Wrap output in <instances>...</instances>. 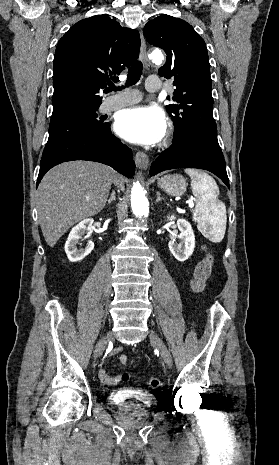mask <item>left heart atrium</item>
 <instances>
[{
  "label": "left heart atrium",
  "instance_id": "left-heart-atrium-1",
  "mask_svg": "<svg viewBox=\"0 0 279 465\" xmlns=\"http://www.w3.org/2000/svg\"><path fill=\"white\" fill-rule=\"evenodd\" d=\"M116 132L129 142L153 145L165 136L167 122L156 107L138 106L120 112L115 121Z\"/></svg>",
  "mask_w": 279,
  "mask_h": 465
}]
</instances>
